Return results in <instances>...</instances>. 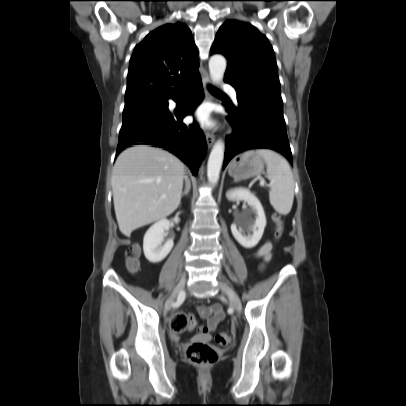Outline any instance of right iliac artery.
<instances>
[{
	"mask_svg": "<svg viewBox=\"0 0 406 406\" xmlns=\"http://www.w3.org/2000/svg\"><path fill=\"white\" fill-rule=\"evenodd\" d=\"M180 298H181V294L179 295L178 300H177V302L174 304V306H176V305L179 303Z\"/></svg>",
	"mask_w": 406,
	"mask_h": 406,
	"instance_id": "1",
	"label": "right iliac artery"
}]
</instances>
